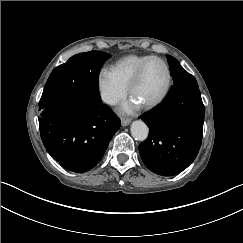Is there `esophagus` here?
Segmentation results:
<instances>
[{
	"mask_svg": "<svg viewBox=\"0 0 243 243\" xmlns=\"http://www.w3.org/2000/svg\"><path fill=\"white\" fill-rule=\"evenodd\" d=\"M130 122H131V119L130 118H123L121 120V125L122 126H127V125H129Z\"/></svg>",
	"mask_w": 243,
	"mask_h": 243,
	"instance_id": "obj_1",
	"label": "esophagus"
}]
</instances>
